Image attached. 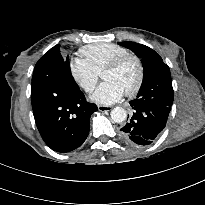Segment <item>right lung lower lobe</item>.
Segmentation results:
<instances>
[{
  "instance_id": "obj_1",
  "label": "right lung lower lobe",
  "mask_w": 205,
  "mask_h": 205,
  "mask_svg": "<svg viewBox=\"0 0 205 205\" xmlns=\"http://www.w3.org/2000/svg\"><path fill=\"white\" fill-rule=\"evenodd\" d=\"M59 48L56 45L36 63L31 102L44 142L54 151L69 152L86 140L90 117L98 108L86 101L71 75L69 58L63 60Z\"/></svg>"
}]
</instances>
